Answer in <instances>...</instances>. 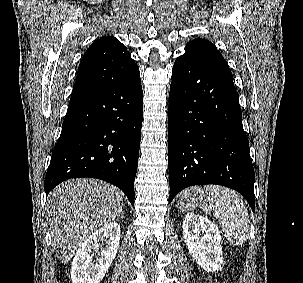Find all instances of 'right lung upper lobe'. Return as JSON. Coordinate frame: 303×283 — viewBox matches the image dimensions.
Segmentation results:
<instances>
[{"mask_svg":"<svg viewBox=\"0 0 303 283\" xmlns=\"http://www.w3.org/2000/svg\"><path fill=\"white\" fill-rule=\"evenodd\" d=\"M138 75L139 67L127 48L113 36L101 37L82 57L70 102L112 90Z\"/></svg>","mask_w":303,"mask_h":283,"instance_id":"right-lung-upper-lobe-1","label":"right lung upper lobe"}]
</instances>
